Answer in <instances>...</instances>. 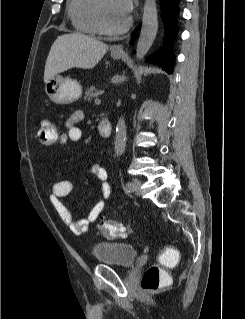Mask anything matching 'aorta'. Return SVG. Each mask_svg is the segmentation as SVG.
Instances as JSON below:
<instances>
[{
  "mask_svg": "<svg viewBox=\"0 0 245 319\" xmlns=\"http://www.w3.org/2000/svg\"><path fill=\"white\" fill-rule=\"evenodd\" d=\"M158 30V14L156 0H145L142 17V27L136 47L137 59H143L150 50ZM126 147V124L120 117L116 126L115 154L120 156Z\"/></svg>",
  "mask_w": 245,
  "mask_h": 319,
  "instance_id": "aorta-1",
  "label": "aorta"
}]
</instances>
